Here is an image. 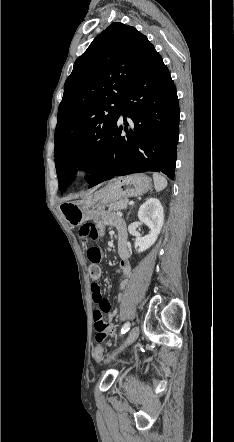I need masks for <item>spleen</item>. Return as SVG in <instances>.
Instances as JSON below:
<instances>
[{"instance_id": "obj_1", "label": "spleen", "mask_w": 234, "mask_h": 442, "mask_svg": "<svg viewBox=\"0 0 234 442\" xmlns=\"http://www.w3.org/2000/svg\"><path fill=\"white\" fill-rule=\"evenodd\" d=\"M153 180L157 192L162 191L168 184L167 179L159 173H153Z\"/></svg>"}]
</instances>
